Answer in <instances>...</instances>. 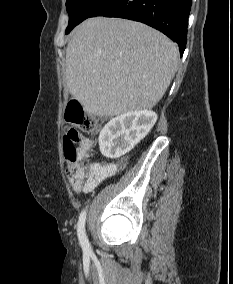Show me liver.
Masks as SVG:
<instances>
[{"mask_svg":"<svg viewBox=\"0 0 233 284\" xmlns=\"http://www.w3.org/2000/svg\"><path fill=\"white\" fill-rule=\"evenodd\" d=\"M178 57L176 43L143 23L96 17L74 30L64 74L86 112L113 117L153 108L175 75Z\"/></svg>","mask_w":233,"mask_h":284,"instance_id":"6515ba94","label":"liver"}]
</instances>
